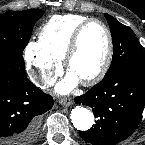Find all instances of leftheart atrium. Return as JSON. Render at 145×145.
Listing matches in <instances>:
<instances>
[{
  "instance_id": "1",
  "label": "left heart atrium",
  "mask_w": 145,
  "mask_h": 145,
  "mask_svg": "<svg viewBox=\"0 0 145 145\" xmlns=\"http://www.w3.org/2000/svg\"><path fill=\"white\" fill-rule=\"evenodd\" d=\"M78 81V78L69 73L66 79H64L58 84L57 91L59 93H67L78 83Z\"/></svg>"
}]
</instances>
